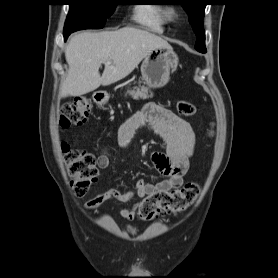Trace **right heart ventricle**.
Masks as SVG:
<instances>
[{
    "instance_id": "e07e8e85",
    "label": "right heart ventricle",
    "mask_w": 278,
    "mask_h": 278,
    "mask_svg": "<svg viewBox=\"0 0 278 278\" xmlns=\"http://www.w3.org/2000/svg\"><path fill=\"white\" fill-rule=\"evenodd\" d=\"M134 20L141 26L162 33L167 23L165 8L154 4H141L134 8Z\"/></svg>"
}]
</instances>
